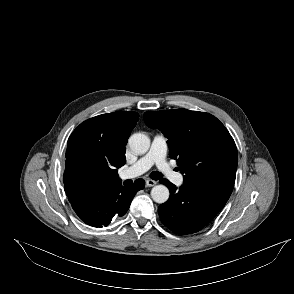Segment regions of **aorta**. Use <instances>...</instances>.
<instances>
[{
	"instance_id": "aorta-1",
	"label": "aorta",
	"mask_w": 294,
	"mask_h": 294,
	"mask_svg": "<svg viewBox=\"0 0 294 294\" xmlns=\"http://www.w3.org/2000/svg\"><path fill=\"white\" fill-rule=\"evenodd\" d=\"M130 149L135 154H145L150 147V139L143 133H135L128 141ZM169 190L164 185H156L151 190V197L156 203H165L169 199Z\"/></svg>"
}]
</instances>
